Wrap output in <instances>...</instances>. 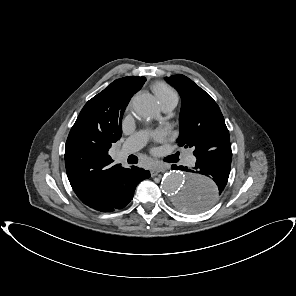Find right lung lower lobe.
<instances>
[{
  "label": "right lung lower lobe",
  "mask_w": 296,
  "mask_h": 296,
  "mask_svg": "<svg viewBox=\"0 0 296 296\" xmlns=\"http://www.w3.org/2000/svg\"><path fill=\"white\" fill-rule=\"evenodd\" d=\"M150 177V172L135 166L127 168L117 188L110 193L105 202L95 210L101 212H112L124 208L133 198L136 186L144 179Z\"/></svg>",
  "instance_id": "1"
}]
</instances>
